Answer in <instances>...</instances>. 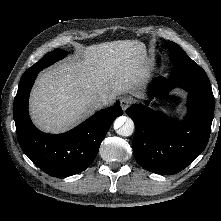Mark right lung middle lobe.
Segmentation results:
<instances>
[{
	"instance_id": "obj_1",
	"label": "right lung middle lobe",
	"mask_w": 221,
	"mask_h": 221,
	"mask_svg": "<svg viewBox=\"0 0 221 221\" xmlns=\"http://www.w3.org/2000/svg\"><path fill=\"white\" fill-rule=\"evenodd\" d=\"M68 53L61 49H55L54 51L50 52L49 54L42 57L37 63L31 66L22 77L28 75L30 72L39 69L42 70L47 66L53 64L54 62L64 58Z\"/></svg>"
}]
</instances>
